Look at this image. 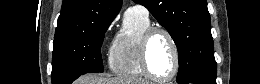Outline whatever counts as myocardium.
Listing matches in <instances>:
<instances>
[{
	"mask_svg": "<svg viewBox=\"0 0 260 84\" xmlns=\"http://www.w3.org/2000/svg\"><path fill=\"white\" fill-rule=\"evenodd\" d=\"M157 33H162L163 35H165L168 38V40L171 43V46L173 49V54H174L173 71L168 77H165V78L155 75L149 65L150 42H151L153 36ZM140 60H141V66H142L143 72L145 73V75L147 77H149L153 81H156L159 83H167V82L174 80L180 70V52H179V47L177 45V42H176L174 36L172 35V33L163 27H156V26L149 27L144 32V34L142 35V38L140 40Z\"/></svg>",
	"mask_w": 260,
	"mask_h": 84,
	"instance_id": "obj_1",
	"label": "myocardium"
}]
</instances>
